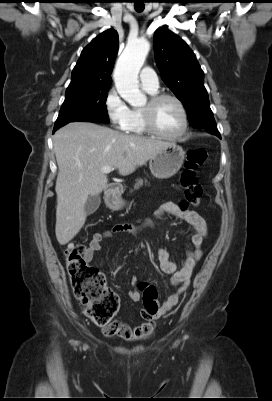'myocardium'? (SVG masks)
I'll list each match as a JSON object with an SVG mask.
<instances>
[{
	"instance_id": "f54148a6",
	"label": "myocardium",
	"mask_w": 272,
	"mask_h": 401,
	"mask_svg": "<svg viewBox=\"0 0 272 401\" xmlns=\"http://www.w3.org/2000/svg\"><path fill=\"white\" fill-rule=\"evenodd\" d=\"M166 99L174 101L178 105L182 114L183 127L181 131L175 135H167L161 132L155 123V118H154L155 108L161 101ZM141 109H142L144 125L149 133L166 140H178L186 134L189 127L188 114L184 103L177 96L169 93H155L150 96L147 104Z\"/></svg>"
}]
</instances>
